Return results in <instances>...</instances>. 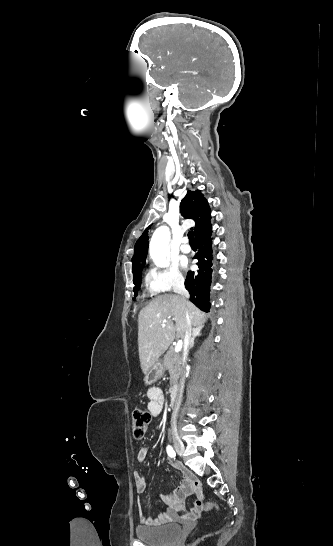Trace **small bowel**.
I'll return each mask as SVG.
<instances>
[{
    "mask_svg": "<svg viewBox=\"0 0 333 546\" xmlns=\"http://www.w3.org/2000/svg\"><path fill=\"white\" fill-rule=\"evenodd\" d=\"M148 410L152 416H159L164 410L165 396L160 387H151L147 390ZM148 455L147 448H140L137 453L139 462H144ZM182 475L181 485L169 494L159 495V500L167 509L156 517H146L142 507L138 506L139 521L146 526H160L170 522L175 511H183V518L187 520L197 519L202 513L204 493L200 481L186 468L180 469ZM134 483L138 494H143L147 488V479L139 472L134 473ZM194 496V504L186 510V498Z\"/></svg>",
    "mask_w": 333,
    "mask_h": 546,
    "instance_id": "c3829d8e",
    "label": "small bowel"
}]
</instances>
